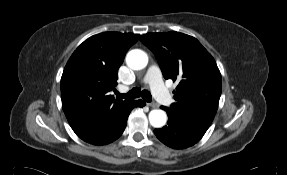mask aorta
I'll list each match as a JSON object with an SVG mask.
<instances>
[{"label":"aorta","mask_w":287,"mask_h":175,"mask_svg":"<svg viewBox=\"0 0 287 175\" xmlns=\"http://www.w3.org/2000/svg\"><path fill=\"white\" fill-rule=\"evenodd\" d=\"M126 63L133 70H141L146 67L148 63L147 54L140 50L134 49L128 52L126 55ZM167 121V115L165 111L155 109L149 113V122L155 128H161Z\"/></svg>","instance_id":"762f6f07"}]
</instances>
